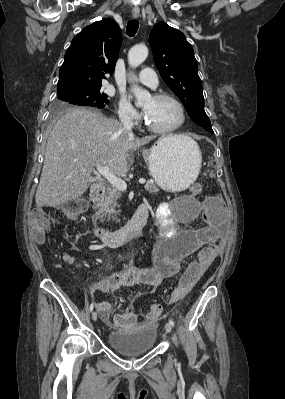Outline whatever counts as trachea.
Instances as JSON below:
<instances>
[{
    "instance_id": "obj_1",
    "label": "trachea",
    "mask_w": 285,
    "mask_h": 399,
    "mask_svg": "<svg viewBox=\"0 0 285 399\" xmlns=\"http://www.w3.org/2000/svg\"><path fill=\"white\" fill-rule=\"evenodd\" d=\"M138 27H139V21L138 20H136V19L130 20L127 23L126 34L129 37H133L136 34V32L138 30Z\"/></svg>"
}]
</instances>
